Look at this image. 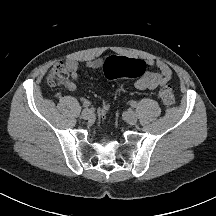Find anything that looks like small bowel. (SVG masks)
Segmentation results:
<instances>
[{
	"instance_id": "c3829d8e",
	"label": "small bowel",
	"mask_w": 216,
	"mask_h": 216,
	"mask_svg": "<svg viewBox=\"0 0 216 216\" xmlns=\"http://www.w3.org/2000/svg\"><path fill=\"white\" fill-rule=\"evenodd\" d=\"M146 66H155L157 71H147L138 77L134 82L137 90H156L160 86L168 85L172 78L173 72L170 66L159 59L141 60ZM104 60L101 58L91 59L86 63V67L90 70L99 69L103 66ZM65 68L69 73L70 79L65 82V88L69 91H76L77 85L75 81L78 79V63L75 60H66Z\"/></svg>"
}]
</instances>
